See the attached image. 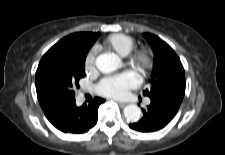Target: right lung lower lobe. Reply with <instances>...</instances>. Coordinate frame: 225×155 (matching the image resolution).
Listing matches in <instances>:
<instances>
[{"instance_id":"1","label":"right lung lower lobe","mask_w":225,"mask_h":155,"mask_svg":"<svg viewBox=\"0 0 225 155\" xmlns=\"http://www.w3.org/2000/svg\"><path fill=\"white\" fill-rule=\"evenodd\" d=\"M104 99L96 97L88 106L77 107L75 99L60 100L43 109L51 124L64 133H85L97 123V109Z\"/></svg>"}]
</instances>
